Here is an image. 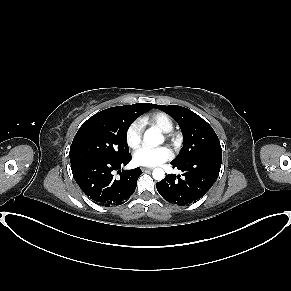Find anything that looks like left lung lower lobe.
Here are the masks:
<instances>
[{
	"label": "left lung lower lobe",
	"instance_id": "0a47b994",
	"mask_svg": "<svg viewBox=\"0 0 291 291\" xmlns=\"http://www.w3.org/2000/svg\"><path fill=\"white\" fill-rule=\"evenodd\" d=\"M222 163V153L195 156L182 162H171L173 168L183 172L180 175H167L156 183L160 195L170 203L188 205L196 202L216 182Z\"/></svg>",
	"mask_w": 291,
	"mask_h": 291
}]
</instances>
